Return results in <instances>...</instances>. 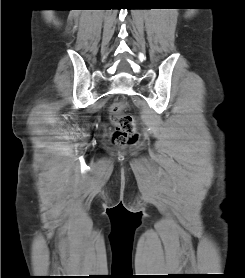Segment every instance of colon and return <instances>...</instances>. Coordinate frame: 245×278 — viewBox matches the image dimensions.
I'll list each match as a JSON object with an SVG mask.
<instances>
[{
  "instance_id": "obj_1",
  "label": "colon",
  "mask_w": 245,
  "mask_h": 278,
  "mask_svg": "<svg viewBox=\"0 0 245 278\" xmlns=\"http://www.w3.org/2000/svg\"><path fill=\"white\" fill-rule=\"evenodd\" d=\"M127 108L128 103L124 99L118 100L110 108L111 119L115 125L113 140L118 146H125L137 139L133 118L124 113Z\"/></svg>"
}]
</instances>
